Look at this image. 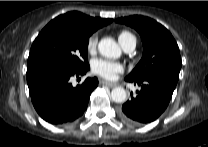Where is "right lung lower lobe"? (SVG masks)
<instances>
[{
	"label": "right lung lower lobe",
	"mask_w": 208,
	"mask_h": 147,
	"mask_svg": "<svg viewBox=\"0 0 208 147\" xmlns=\"http://www.w3.org/2000/svg\"><path fill=\"white\" fill-rule=\"evenodd\" d=\"M90 66L70 69L44 66L27 70V83L32 103L38 114L52 124L69 123L80 117L87 108L90 94L98 86V79L86 78L73 87L72 76L86 74Z\"/></svg>",
	"instance_id": "98d812e1"
}]
</instances>
